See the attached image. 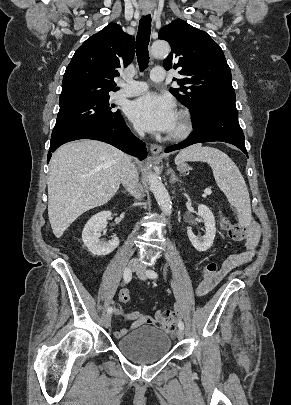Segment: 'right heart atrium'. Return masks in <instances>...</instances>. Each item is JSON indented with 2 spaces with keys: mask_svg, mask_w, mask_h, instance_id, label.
<instances>
[{
  "mask_svg": "<svg viewBox=\"0 0 291 405\" xmlns=\"http://www.w3.org/2000/svg\"><path fill=\"white\" fill-rule=\"evenodd\" d=\"M136 131L139 133V130H138V129H136Z\"/></svg>",
  "mask_w": 291,
  "mask_h": 405,
  "instance_id": "d8ad5b80",
  "label": "right heart atrium"
}]
</instances>
